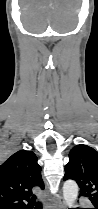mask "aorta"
Returning a JSON list of instances; mask_svg holds the SVG:
<instances>
[{
	"mask_svg": "<svg viewBox=\"0 0 98 209\" xmlns=\"http://www.w3.org/2000/svg\"><path fill=\"white\" fill-rule=\"evenodd\" d=\"M78 185L73 180H67L63 185V197L69 207H73L78 196Z\"/></svg>",
	"mask_w": 98,
	"mask_h": 209,
	"instance_id": "1",
	"label": "aorta"
}]
</instances>
